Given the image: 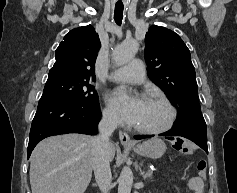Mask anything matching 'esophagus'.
Returning <instances> with one entry per match:
<instances>
[{
  "label": "esophagus",
  "instance_id": "esophagus-1",
  "mask_svg": "<svg viewBox=\"0 0 237 193\" xmlns=\"http://www.w3.org/2000/svg\"><path fill=\"white\" fill-rule=\"evenodd\" d=\"M119 139L123 145H134V142L131 140L130 136L126 132L120 131Z\"/></svg>",
  "mask_w": 237,
  "mask_h": 193
}]
</instances>
